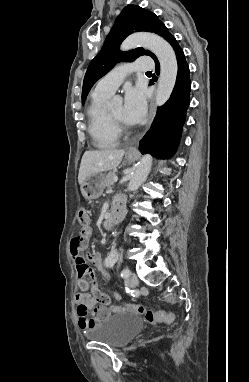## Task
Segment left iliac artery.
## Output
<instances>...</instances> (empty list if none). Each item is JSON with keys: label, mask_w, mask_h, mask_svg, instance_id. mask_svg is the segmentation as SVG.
Masks as SVG:
<instances>
[{"label": "left iliac artery", "mask_w": 249, "mask_h": 382, "mask_svg": "<svg viewBox=\"0 0 249 382\" xmlns=\"http://www.w3.org/2000/svg\"><path fill=\"white\" fill-rule=\"evenodd\" d=\"M130 275H131V271L128 268H124L121 273V276L123 278H128Z\"/></svg>", "instance_id": "obj_1"}]
</instances>
